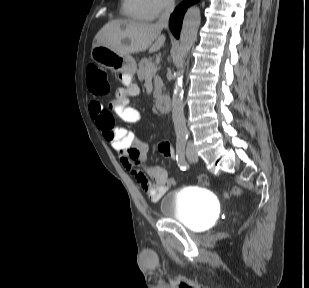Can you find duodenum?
<instances>
[{"label": "duodenum", "instance_id": "410a0bca", "mask_svg": "<svg viewBox=\"0 0 309 288\" xmlns=\"http://www.w3.org/2000/svg\"><path fill=\"white\" fill-rule=\"evenodd\" d=\"M156 105L158 110L162 112H169L171 109V99L168 96H161L157 98Z\"/></svg>", "mask_w": 309, "mask_h": 288}]
</instances>
